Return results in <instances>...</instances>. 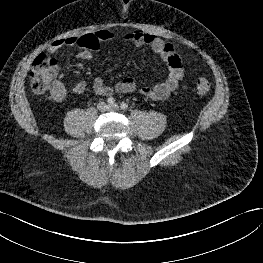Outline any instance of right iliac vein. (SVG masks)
I'll return each mask as SVG.
<instances>
[{
	"label": "right iliac vein",
	"instance_id": "obj_1",
	"mask_svg": "<svg viewBox=\"0 0 263 263\" xmlns=\"http://www.w3.org/2000/svg\"><path fill=\"white\" fill-rule=\"evenodd\" d=\"M97 108L100 110V111H106L109 109V106L105 103V102H100L97 106Z\"/></svg>",
	"mask_w": 263,
	"mask_h": 263
}]
</instances>
